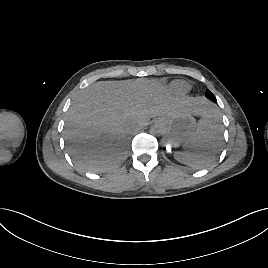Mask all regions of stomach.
<instances>
[{
  "label": "stomach",
  "mask_w": 268,
  "mask_h": 268,
  "mask_svg": "<svg viewBox=\"0 0 268 268\" xmlns=\"http://www.w3.org/2000/svg\"><path fill=\"white\" fill-rule=\"evenodd\" d=\"M155 123L162 129L167 142L176 147L186 144L188 138L196 130V121L191 113L182 112L170 117H159Z\"/></svg>",
  "instance_id": "0dacf381"
}]
</instances>
